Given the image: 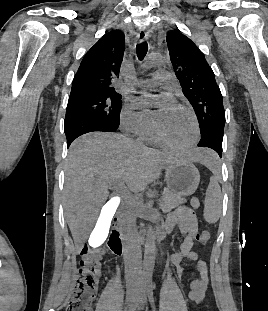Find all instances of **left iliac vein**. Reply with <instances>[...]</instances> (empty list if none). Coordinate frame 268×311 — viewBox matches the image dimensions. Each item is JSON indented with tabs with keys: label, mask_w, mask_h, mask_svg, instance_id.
I'll list each match as a JSON object with an SVG mask.
<instances>
[{
	"label": "left iliac vein",
	"mask_w": 268,
	"mask_h": 311,
	"mask_svg": "<svg viewBox=\"0 0 268 311\" xmlns=\"http://www.w3.org/2000/svg\"><path fill=\"white\" fill-rule=\"evenodd\" d=\"M146 301H147V298H146L145 290L142 289V285H141L140 294H139V303H138L139 309H142L144 307V305L146 304Z\"/></svg>",
	"instance_id": "1"
}]
</instances>
